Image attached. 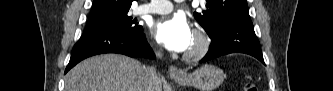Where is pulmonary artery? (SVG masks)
<instances>
[{"instance_id": "pulmonary-artery-1", "label": "pulmonary artery", "mask_w": 333, "mask_h": 91, "mask_svg": "<svg viewBox=\"0 0 333 91\" xmlns=\"http://www.w3.org/2000/svg\"><path fill=\"white\" fill-rule=\"evenodd\" d=\"M173 9L172 3L168 0H152L137 9L139 14H165Z\"/></svg>"}]
</instances>
